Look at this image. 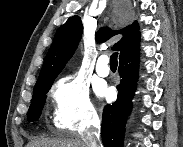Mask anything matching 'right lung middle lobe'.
<instances>
[{"mask_svg":"<svg viewBox=\"0 0 183 147\" xmlns=\"http://www.w3.org/2000/svg\"><path fill=\"white\" fill-rule=\"evenodd\" d=\"M50 88L51 87L49 86L34 91L33 98L31 100V105L27 114L29 122L35 121L40 117L41 111L46 100V94Z\"/></svg>","mask_w":183,"mask_h":147,"instance_id":"obj_1","label":"right lung middle lobe"}]
</instances>
